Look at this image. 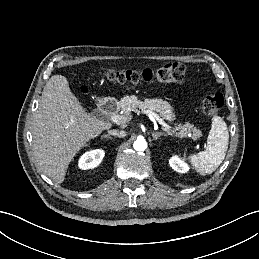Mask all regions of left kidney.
Segmentation results:
<instances>
[{
  "label": "left kidney",
  "instance_id": "obj_1",
  "mask_svg": "<svg viewBox=\"0 0 259 259\" xmlns=\"http://www.w3.org/2000/svg\"><path fill=\"white\" fill-rule=\"evenodd\" d=\"M169 164L176 172L186 173L189 171V166L187 165V163H185L176 155L170 158Z\"/></svg>",
  "mask_w": 259,
  "mask_h": 259
}]
</instances>
